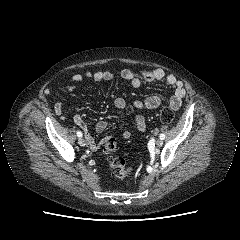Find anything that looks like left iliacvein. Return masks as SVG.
<instances>
[{
    "instance_id": "left-iliac-vein-1",
    "label": "left iliac vein",
    "mask_w": 240,
    "mask_h": 240,
    "mask_svg": "<svg viewBox=\"0 0 240 240\" xmlns=\"http://www.w3.org/2000/svg\"><path fill=\"white\" fill-rule=\"evenodd\" d=\"M156 145H157L158 147L162 146V145H163L162 139H158V140L156 141Z\"/></svg>"
}]
</instances>
